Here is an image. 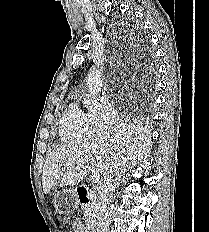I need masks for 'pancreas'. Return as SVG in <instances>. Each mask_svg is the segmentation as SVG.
I'll return each mask as SVG.
<instances>
[{
    "instance_id": "1",
    "label": "pancreas",
    "mask_w": 209,
    "mask_h": 232,
    "mask_svg": "<svg viewBox=\"0 0 209 232\" xmlns=\"http://www.w3.org/2000/svg\"><path fill=\"white\" fill-rule=\"evenodd\" d=\"M97 205L98 204H97L96 199H92L91 203L89 204L82 205V210L84 211L86 226L88 228H91L95 223V218H96L97 209H98Z\"/></svg>"
}]
</instances>
